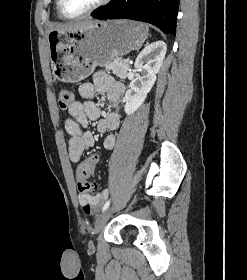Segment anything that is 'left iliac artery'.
I'll return each instance as SVG.
<instances>
[{"label":"left iliac artery","mask_w":247,"mask_h":280,"mask_svg":"<svg viewBox=\"0 0 247 280\" xmlns=\"http://www.w3.org/2000/svg\"><path fill=\"white\" fill-rule=\"evenodd\" d=\"M110 205V200L106 201V203L104 204L103 208H102V212H104Z\"/></svg>","instance_id":"left-iliac-artery-1"}]
</instances>
